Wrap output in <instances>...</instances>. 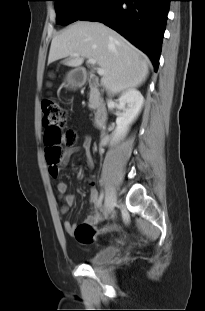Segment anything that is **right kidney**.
I'll return each instance as SVG.
<instances>
[{
	"mask_svg": "<svg viewBox=\"0 0 205 311\" xmlns=\"http://www.w3.org/2000/svg\"><path fill=\"white\" fill-rule=\"evenodd\" d=\"M144 104L142 94L136 89H130L123 93L118 99V109L123 110L118 114L116 119V128L112 133L111 142H116L127 133L129 126L139 115ZM109 137H106L105 143L109 142Z\"/></svg>",
	"mask_w": 205,
	"mask_h": 311,
	"instance_id": "ca27d5eb",
	"label": "right kidney"
}]
</instances>
